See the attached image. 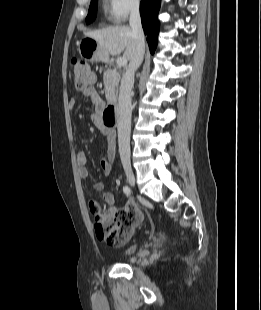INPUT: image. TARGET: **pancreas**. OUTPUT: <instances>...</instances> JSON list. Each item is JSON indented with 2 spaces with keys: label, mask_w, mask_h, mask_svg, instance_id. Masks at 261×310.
<instances>
[{
  "label": "pancreas",
  "mask_w": 261,
  "mask_h": 310,
  "mask_svg": "<svg viewBox=\"0 0 261 310\" xmlns=\"http://www.w3.org/2000/svg\"><path fill=\"white\" fill-rule=\"evenodd\" d=\"M105 96L110 102L116 100L120 75L116 69H107L103 76Z\"/></svg>",
  "instance_id": "pancreas-1"
}]
</instances>
